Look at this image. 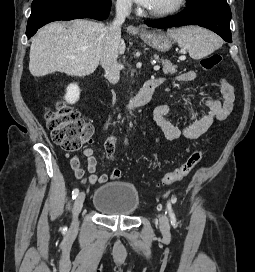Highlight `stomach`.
Instances as JSON below:
<instances>
[{"label":"stomach","mask_w":255,"mask_h":272,"mask_svg":"<svg viewBox=\"0 0 255 272\" xmlns=\"http://www.w3.org/2000/svg\"><path fill=\"white\" fill-rule=\"evenodd\" d=\"M141 39L150 47L166 52L173 44L172 38L162 31H148L140 34Z\"/></svg>","instance_id":"1"}]
</instances>
